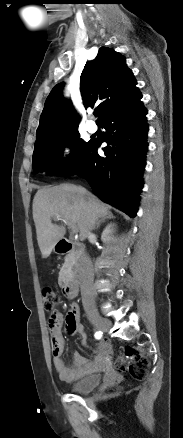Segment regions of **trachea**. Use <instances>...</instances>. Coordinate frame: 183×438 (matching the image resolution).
I'll list each match as a JSON object with an SVG mask.
<instances>
[{"label": "trachea", "mask_w": 183, "mask_h": 438, "mask_svg": "<svg viewBox=\"0 0 183 438\" xmlns=\"http://www.w3.org/2000/svg\"><path fill=\"white\" fill-rule=\"evenodd\" d=\"M93 114H94V116H97V115H98V112H97V111H95V112H94Z\"/></svg>", "instance_id": "1"}]
</instances>
